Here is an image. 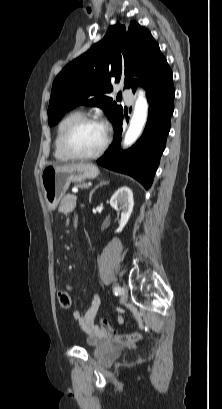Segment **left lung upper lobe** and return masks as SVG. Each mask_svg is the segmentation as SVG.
Listing matches in <instances>:
<instances>
[{
  "label": "left lung upper lobe",
  "instance_id": "left-lung-upper-lobe-1",
  "mask_svg": "<svg viewBox=\"0 0 222 409\" xmlns=\"http://www.w3.org/2000/svg\"><path fill=\"white\" fill-rule=\"evenodd\" d=\"M168 69L157 42L146 28L136 21L129 26L118 22L100 42L57 75L52 85L48 123L57 124L67 111L81 104L102 108L114 123L123 109L106 96L112 91L111 80L124 81L125 88L134 92L138 82L133 73L141 76V85L145 87Z\"/></svg>",
  "mask_w": 222,
  "mask_h": 409
}]
</instances>
